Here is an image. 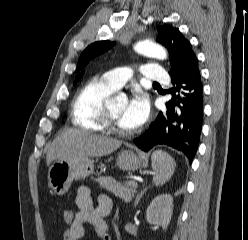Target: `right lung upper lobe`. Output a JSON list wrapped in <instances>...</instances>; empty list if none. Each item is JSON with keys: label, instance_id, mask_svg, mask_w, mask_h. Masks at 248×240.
<instances>
[{"label": "right lung upper lobe", "instance_id": "1", "mask_svg": "<svg viewBox=\"0 0 248 240\" xmlns=\"http://www.w3.org/2000/svg\"><path fill=\"white\" fill-rule=\"evenodd\" d=\"M82 74L76 79L77 81L81 78Z\"/></svg>", "mask_w": 248, "mask_h": 240}]
</instances>
